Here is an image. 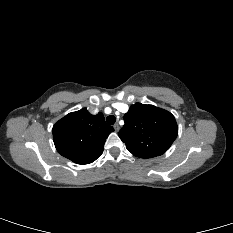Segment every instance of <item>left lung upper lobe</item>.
<instances>
[{
    "label": "left lung upper lobe",
    "instance_id": "1",
    "mask_svg": "<svg viewBox=\"0 0 233 233\" xmlns=\"http://www.w3.org/2000/svg\"><path fill=\"white\" fill-rule=\"evenodd\" d=\"M119 137L134 156L152 158L164 154L178 135L174 116L153 105L136 103L124 115Z\"/></svg>",
    "mask_w": 233,
    "mask_h": 233
}]
</instances>
